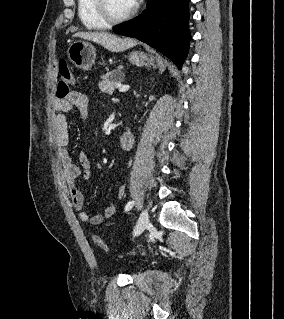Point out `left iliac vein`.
I'll list each match as a JSON object with an SVG mask.
<instances>
[{
    "label": "left iliac vein",
    "instance_id": "1",
    "mask_svg": "<svg viewBox=\"0 0 284 319\" xmlns=\"http://www.w3.org/2000/svg\"><path fill=\"white\" fill-rule=\"evenodd\" d=\"M149 224V215L148 211L146 209L142 210L139 219L136 223V226L134 228L133 235L138 236L140 235L148 226Z\"/></svg>",
    "mask_w": 284,
    "mask_h": 319
}]
</instances>
